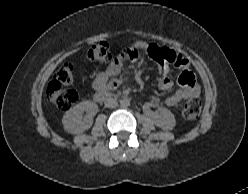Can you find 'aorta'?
I'll return each instance as SVG.
<instances>
[{
  "instance_id": "1",
  "label": "aorta",
  "mask_w": 248,
  "mask_h": 194,
  "mask_svg": "<svg viewBox=\"0 0 248 194\" xmlns=\"http://www.w3.org/2000/svg\"><path fill=\"white\" fill-rule=\"evenodd\" d=\"M120 105L122 108H127L130 106V99L128 98H123L120 100Z\"/></svg>"
}]
</instances>
